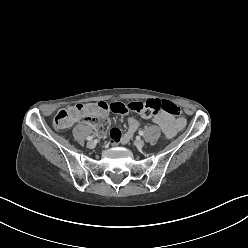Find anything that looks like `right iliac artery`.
Returning a JSON list of instances; mask_svg holds the SVG:
<instances>
[{"label": "right iliac artery", "mask_w": 248, "mask_h": 248, "mask_svg": "<svg viewBox=\"0 0 248 248\" xmlns=\"http://www.w3.org/2000/svg\"><path fill=\"white\" fill-rule=\"evenodd\" d=\"M93 138H94L93 136H88V137H87V140H88V141H91Z\"/></svg>", "instance_id": "right-iliac-artery-1"}]
</instances>
